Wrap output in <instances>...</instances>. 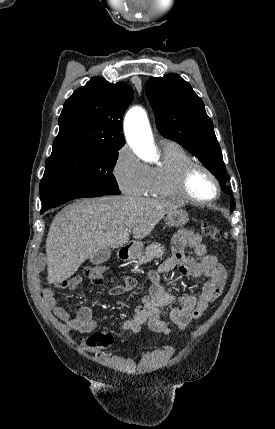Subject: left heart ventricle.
Here are the masks:
<instances>
[{
    "mask_svg": "<svg viewBox=\"0 0 275 429\" xmlns=\"http://www.w3.org/2000/svg\"><path fill=\"white\" fill-rule=\"evenodd\" d=\"M189 187L192 195L200 200L210 199L216 194L215 183L202 170H197L193 173Z\"/></svg>",
    "mask_w": 275,
    "mask_h": 429,
    "instance_id": "obj_1",
    "label": "left heart ventricle"
}]
</instances>
